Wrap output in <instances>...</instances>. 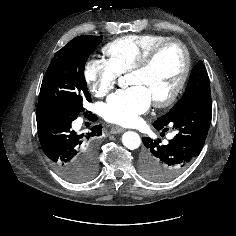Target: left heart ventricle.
Returning <instances> with one entry per match:
<instances>
[{
  "label": "left heart ventricle",
  "instance_id": "b2bd125f",
  "mask_svg": "<svg viewBox=\"0 0 236 236\" xmlns=\"http://www.w3.org/2000/svg\"><path fill=\"white\" fill-rule=\"evenodd\" d=\"M184 64L183 53L179 46L166 47L153 64L142 72L130 73L129 84L143 86L152 100L165 98L175 87Z\"/></svg>",
  "mask_w": 236,
  "mask_h": 236
}]
</instances>
